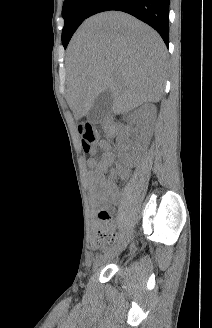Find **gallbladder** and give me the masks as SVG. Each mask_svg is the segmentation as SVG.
I'll list each match as a JSON object with an SVG mask.
<instances>
[{"instance_id": "bac80fb5", "label": "gallbladder", "mask_w": 212, "mask_h": 328, "mask_svg": "<svg viewBox=\"0 0 212 328\" xmlns=\"http://www.w3.org/2000/svg\"><path fill=\"white\" fill-rule=\"evenodd\" d=\"M113 94L110 90L100 93L87 113V119L92 124H97L110 115L113 107Z\"/></svg>"}]
</instances>
